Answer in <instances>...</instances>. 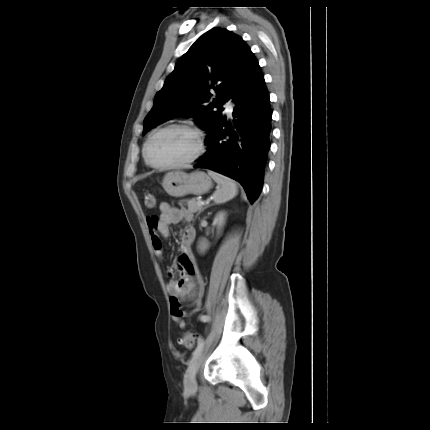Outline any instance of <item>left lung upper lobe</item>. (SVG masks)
I'll return each instance as SVG.
<instances>
[{"mask_svg":"<svg viewBox=\"0 0 430 430\" xmlns=\"http://www.w3.org/2000/svg\"><path fill=\"white\" fill-rule=\"evenodd\" d=\"M257 68L258 60L240 36L219 27L209 30L180 57L157 92L143 134L178 116H193L208 133L222 105L251 81ZM210 88L217 93L213 100Z\"/></svg>","mask_w":430,"mask_h":430,"instance_id":"obj_1","label":"left lung upper lobe"}]
</instances>
